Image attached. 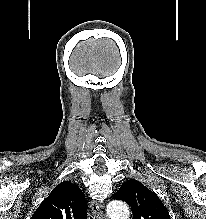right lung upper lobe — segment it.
<instances>
[{"instance_id": "obj_1", "label": "right lung upper lobe", "mask_w": 206, "mask_h": 219, "mask_svg": "<svg viewBox=\"0 0 206 219\" xmlns=\"http://www.w3.org/2000/svg\"><path fill=\"white\" fill-rule=\"evenodd\" d=\"M85 195L80 188L64 181L40 204L31 219H87Z\"/></svg>"}]
</instances>
